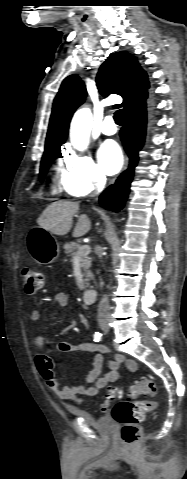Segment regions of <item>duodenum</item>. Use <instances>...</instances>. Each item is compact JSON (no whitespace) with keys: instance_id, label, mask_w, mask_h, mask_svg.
Listing matches in <instances>:
<instances>
[{"instance_id":"duodenum-1","label":"duodenum","mask_w":187,"mask_h":479,"mask_svg":"<svg viewBox=\"0 0 187 479\" xmlns=\"http://www.w3.org/2000/svg\"><path fill=\"white\" fill-rule=\"evenodd\" d=\"M97 297V291L94 289H87L83 293L84 302L87 304H93Z\"/></svg>"}]
</instances>
